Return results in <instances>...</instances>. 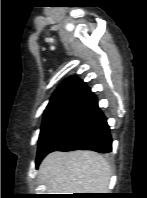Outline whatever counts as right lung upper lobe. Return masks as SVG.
I'll return each mask as SVG.
<instances>
[{"mask_svg":"<svg viewBox=\"0 0 147 198\" xmlns=\"http://www.w3.org/2000/svg\"><path fill=\"white\" fill-rule=\"evenodd\" d=\"M92 94L86 84L77 78L65 80L54 92L48 107L71 106L75 107L86 97Z\"/></svg>","mask_w":147,"mask_h":198,"instance_id":"cb5924a9","label":"right lung upper lobe"}]
</instances>
